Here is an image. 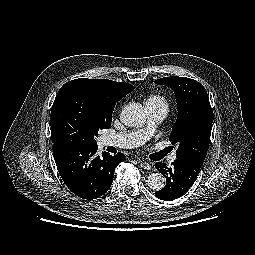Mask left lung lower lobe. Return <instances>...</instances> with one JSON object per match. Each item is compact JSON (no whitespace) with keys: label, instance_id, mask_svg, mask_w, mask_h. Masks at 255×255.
<instances>
[{"label":"left lung lower lobe","instance_id":"0a47b994","mask_svg":"<svg viewBox=\"0 0 255 255\" xmlns=\"http://www.w3.org/2000/svg\"><path fill=\"white\" fill-rule=\"evenodd\" d=\"M201 166L194 161L184 158H177L172 163V167H167L165 163L156 162V169L167 180L165 187L155 192L156 197L161 200L170 201L185 194L196 180Z\"/></svg>","mask_w":255,"mask_h":255}]
</instances>
